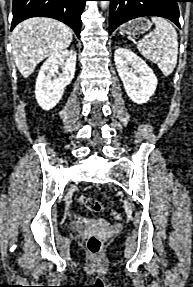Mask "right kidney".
<instances>
[{
	"label": "right kidney",
	"instance_id": "obj_1",
	"mask_svg": "<svg viewBox=\"0 0 193 287\" xmlns=\"http://www.w3.org/2000/svg\"><path fill=\"white\" fill-rule=\"evenodd\" d=\"M76 56L73 49L59 51L52 54L42 65L35 87L36 100L42 109L54 108L62 98L64 88L74 77ZM59 67L62 69L61 73L58 71Z\"/></svg>",
	"mask_w": 193,
	"mask_h": 287
}]
</instances>
